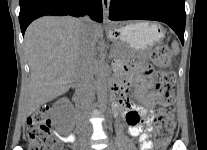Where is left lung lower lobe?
Returning <instances> with one entry per match:
<instances>
[{
    "instance_id": "0a47b994",
    "label": "left lung lower lobe",
    "mask_w": 207,
    "mask_h": 150,
    "mask_svg": "<svg viewBox=\"0 0 207 150\" xmlns=\"http://www.w3.org/2000/svg\"><path fill=\"white\" fill-rule=\"evenodd\" d=\"M106 3V1H105ZM185 0H110V20H156L168 24L184 42Z\"/></svg>"
}]
</instances>
